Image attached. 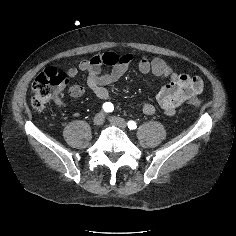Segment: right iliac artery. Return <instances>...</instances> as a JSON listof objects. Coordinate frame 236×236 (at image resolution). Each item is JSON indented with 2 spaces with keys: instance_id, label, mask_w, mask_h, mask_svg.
Returning <instances> with one entry per match:
<instances>
[{
  "instance_id": "1",
  "label": "right iliac artery",
  "mask_w": 236,
  "mask_h": 236,
  "mask_svg": "<svg viewBox=\"0 0 236 236\" xmlns=\"http://www.w3.org/2000/svg\"><path fill=\"white\" fill-rule=\"evenodd\" d=\"M103 110L107 113L112 112L114 110V106H113L112 103L106 102V103L103 104Z\"/></svg>"
}]
</instances>
